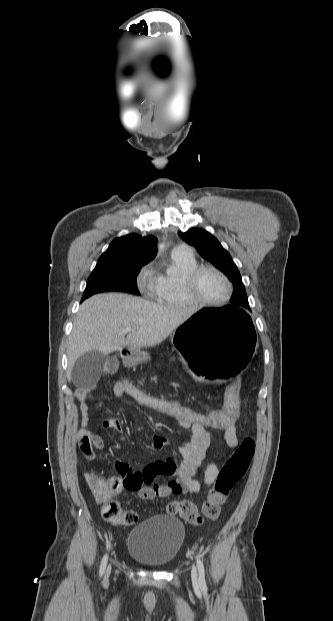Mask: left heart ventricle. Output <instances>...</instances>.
Masks as SVG:
<instances>
[{
  "mask_svg": "<svg viewBox=\"0 0 333 621\" xmlns=\"http://www.w3.org/2000/svg\"><path fill=\"white\" fill-rule=\"evenodd\" d=\"M224 280L213 272H204L197 280L196 293L205 300L217 301L227 294Z\"/></svg>",
  "mask_w": 333,
  "mask_h": 621,
  "instance_id": "b2bd125f",
  "label": "left heart ventricle"
}]
</instances>
